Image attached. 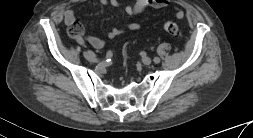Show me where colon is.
<instances>
[{
  "label": "colon",
  "mask_w": 253,
  "mask_h": 138,
  "mask_svg": "<svg viewBox=\"0 0 253 138\" xmlns=\"http://www.w3.org/2000/svg\"><path fill=\"white\" fill-rule=\"evenodd\" d=\"M164 30L172 35V36H179L180 35V28L178 24L172 21H167L164 23ZM83 33V26L79 22H74L69 27V34L72 37H80Z\"/></svg>",
  "instance_id": "colon-1"
}]
</instances>
